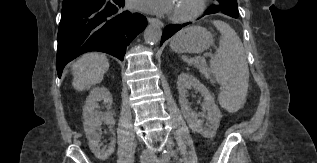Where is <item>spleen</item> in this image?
Masks as SVG:
<instances>
[{
  "label": "spleen",
  "mask_w": 317,
  "mask_h": 163,
  "mask_svg": "<svg viewBox=\"0 0 317 163\" xmlns=\"http://www.w3.org/2000/svg\"><path fill=\"white\" fill-rule=\"evenodd\" d=\"M221 33L219 48L210 61V71L221 85L220 105L228 112H237L248 91L249 69L243 44L237 33L223 21H213Z\"/></svg>",
  "instance_id": "obj_1"
}]
</instances>
